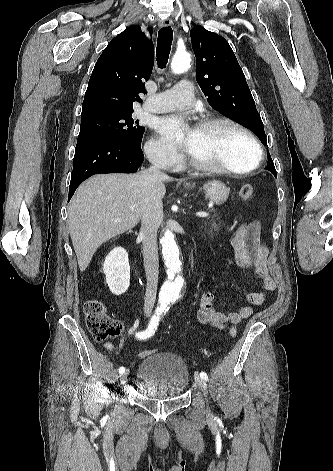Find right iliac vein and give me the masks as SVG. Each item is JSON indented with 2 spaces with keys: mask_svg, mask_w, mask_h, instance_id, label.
<instances>
[{
  "mask_svg": "<svg viewBox=\"0 0 333 471\" xmlns=\"http://www.w3.org/2000/svg\"><path fill=\"white\" fill-rule=\"evenodd\" d=\"M129 375V370H126L122 375H121V381L124 382Z\"/></svg>",
  "mask_w": 333,
  "mask_h": 471,
  "instance_id": "right-iliac-vein-1",
  "label": "right iliac vein"
}]
</instances>
